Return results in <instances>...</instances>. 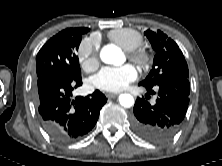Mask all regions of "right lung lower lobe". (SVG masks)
<instances>
[{
    "mask_svg": "<svg viewBox=\"0 0 222 166\" xmlns=\"http://www.w3.org/2000/svg\"><path fill=\"white\" fill-rule=\"evenodd\" d=\"M81 80L61 70L37 77L35 101L39 118L44 130L59 143L75 141L91 131L107 102L99 90L73 100L72 91L82 84Z\"/></svg>",
    "mask_w": 222,
    "mask_h": 166,
    "instance_id": "obj_1",
    "label": "right lung lower lobe"
}]
</instances>
